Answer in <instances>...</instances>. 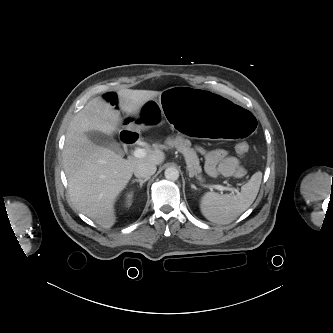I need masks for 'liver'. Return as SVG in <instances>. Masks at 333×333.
Instances as JSON below:
<instances>
[{
	"instance_id": "liver-1",
	"label": "liver",
	"mask_w": 333,
	"mask_h": 333,
	"mask_svg": "<svg viewBox=\"0 0 333 333\" xmlns=\"http://www.w3.org/2000/svg\"><path fill=\"white\" fill-rule=\"evenodd\" d=\"M159 94L158 91L123 89L118 92L119 107L128 116H134ZM120 123L118 110L103 98H94L70 122L62 152L70 201L79 212L105 228L115 224V200L137 164L161 165L165 160L161 151H153L141 160H126L93 143L87 136L90 131L112 135L119 131Z\"/></svg>"
}]
</instances>
